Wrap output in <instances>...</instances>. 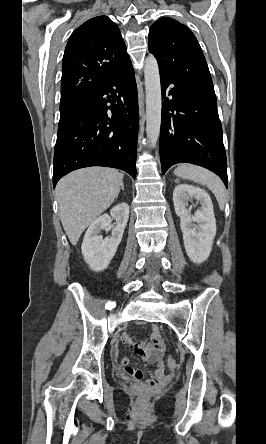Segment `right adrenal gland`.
I'll list each match as a JSON object with an SVG mask.
<instances>
[{
    "mask_svg": "<svg viewBox=\"0 0 266 444\" xmlns=\"http://www.w3.org/2000/svg\"><path fill=\"white\" fill-rule=\"evenodd\" d=\"M121 188H122V190H124V185L123 184H122Z\"/></svg>",
    "mask_w": 266,
    "mask_h": 444,
    "instance_id": "1",
    "label": "right adrenal gland"
}]
</instances>
